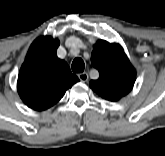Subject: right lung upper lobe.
<instances>
[{"label": "right lung upper lobe", "mask_w": 165, "mask_h": 156, "mask_svg": "<svg viewBox=\"0 0 165 156\" xmlns=\"http://www.w3.org/2000/svg\"><path fill=\"white\" fill-rule=\"evenodd\" d=\"M58 39L43 36L29 48L17 82L23 102L36 111L56 104L79 81L68 64L57 57Z\"/></svg>", "instance_id": "obj_1"}]
</instances>
